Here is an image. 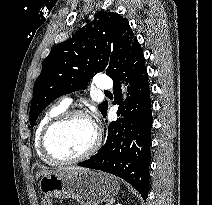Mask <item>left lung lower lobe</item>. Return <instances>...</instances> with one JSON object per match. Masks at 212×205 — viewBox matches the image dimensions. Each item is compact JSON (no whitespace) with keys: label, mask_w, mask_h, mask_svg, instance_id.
Returning a JSON list of instances; mask_svg holds the SVG:
<instances>
[{"label":"left lung lower lobe","mask_w":212,"mask_h":205,"mask_svg":"<svg viewBox=\"0 0 212 205\" xmlns=\"http://www.w3.org/2000/svg\"><path fill=\"white\" fill-rule=\"evenodd\" d=\"M120 78L129 83L130 95L125 101L126 106H119L117 111L123 117L109 124L106 142L98 153L78 165L121 177L146 199L149 191L152 110L144 55L137 38L112 77L115 102L124 105ZM106 114L107 108L103 116L106 117Z\"/></svg>","instance_id":"0a47b994"}]
</instances>
